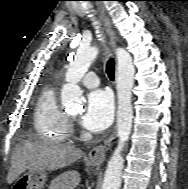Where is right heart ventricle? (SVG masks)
<instances>
[{"label":"right heart ventricle","mask_w":188,"mask_h":189,"mask_svg":"<svg viewBox=\"0 0 188 189\" xmlns=\"http://www.w3.org/2000/svg\"><path fill=\"white\" fill-rule=\"evenodd\" d=\"M33 125L39 135L55 142H63L68 136V117L60 108L52 85H46L37 98Z\"/></svg>","instance_id":"1"}]
</instances>
